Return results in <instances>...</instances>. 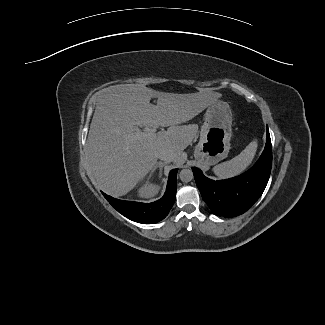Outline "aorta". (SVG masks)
I'll return each mask as SVG.
<instances>
[{
	"label": "aorta",
	"mask_w": 325,
	"mask_h": 325,
	"mask_svg": "<svg viewBox=\"0 0 325 325\" xmlns=\"http://www.w3.org/2000/svg\"><path fill=\"white\" fill-rule=\"evenodd\" d=\"M179 177L182 182H190L193 179V172L190 169H182L179 173Z\"/></svg>",
	"instance_id": "obj_1"
}]
</instances>
